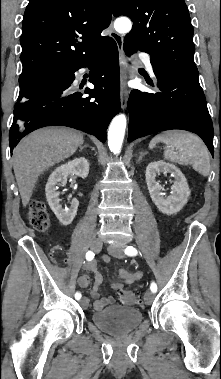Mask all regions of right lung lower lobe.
I'll use <instances>...</instances> for the list:
<instances>
[{"label": "right lung lower lobe", "instance_id": "1", "mask_svg": "<svg viewBox=\"0 0 221 379\" xmlns=\"http://www.w3.org/2000/svg\"><path fill=\"white\" fill-rule=\"evenodd\" d=\"M83 67L91 70L89 81L95 88L78 92L71 84L74 72ZM119 110V56L115 41L109 38L90 57L56 66L24 82L9 132L10 149L28 133L52 125L82 130L105 142L109 122Z\"/></svg>", "mask_w": 221, "mask_h": 379}]
</instances>
